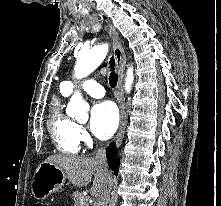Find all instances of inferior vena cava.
<instances>
[{
	"label": "inferior vena cava",
	"instance_id": "602c4592",
	"mask_svg": "<svg viewBox=\"0 0 221 206\" xmlns=\"http://www.w3.org/2000/svg\"><path fill=\"white\" fill-rule=\"evenodd\" d=\"M95 160L102 166V168L105 172V175H106V179L104 182L102 192L98 196L94 206H107V204L110 200V193H111L113 181H112L111 173L108 170V165L106 162V154H105L104 148H100L97 151Z\"/></svg>",
	"mask_w": 221,
	"mask_h": 206
}]
</instances>
